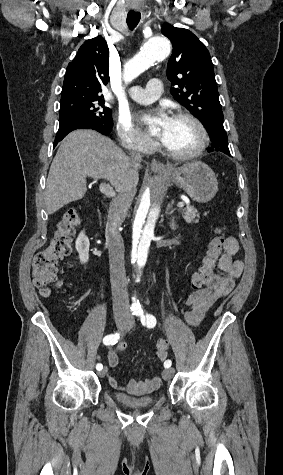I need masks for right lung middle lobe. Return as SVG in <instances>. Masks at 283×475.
Segmentation results:
<instances>
[{
  "label": "right lung middle lobe",
  "mask_w": 283,
  "mask_h": 475,
  "mask_svg": "<svg viewBox=\"0 0 283 475\" xmlns=\"http://www.w3.org/2000/svg\"><path fill=\"white\" fill-rule=\"evenodd\" d=\"M99 94H62L60 101V121L79 117L98 125L113 126L112 110L104 106Z\"/></svg>",
  "instance_id": "obj_1"
}]
</instances>
